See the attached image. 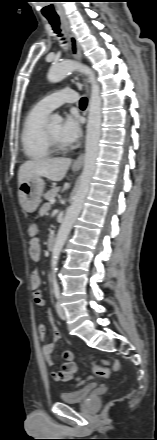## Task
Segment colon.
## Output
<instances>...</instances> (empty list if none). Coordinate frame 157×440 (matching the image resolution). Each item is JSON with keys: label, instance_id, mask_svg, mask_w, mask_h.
<instances>
[{"label": "colon", "instance_id": "5ec220e1", "mask_svg": "<svg viewBox=\"0 0 157 440\" xmlns=\"http://www.w3.org/2000/svg\"><path fill=\"white\" fill-rule=\"evenodd\" d=\"M27 232L30 238L38 237V233H39L38 226L35 223L30 222L27 226ZM110 366H112L114 369H118L119 363L117 361L111 362L107 359H100L95 361L93 377H99V378L106 377L108 375ZM81 383H79L78 385H80Z\"/></svg>", "mask_w": 157, "mask_h": 440}]
</instances>
